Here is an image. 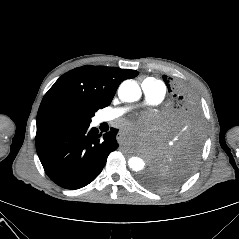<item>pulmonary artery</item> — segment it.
<instances>
[{
    "mask_svg": "<svg viewBox=\"0 0 239 239\" xmlns=\"http://www.w3.org/2000/svg\"><path fill=\"white\" fill-rule=\"evenodd\" d=\"M141 87L147 104H158L165 97L166 87L164 83L160 80L147 78L142 82ZM126 111L127 108H115L109 110L101 115L99 121L100 122L112 121L122 116Z\"/></svg>",
    "mask_w": 239,
    "mask_h": 239,
    "instance_id": "e3ab8cb5",
    "label": "pulmonary artery"
}]
</instances>
